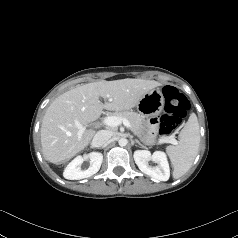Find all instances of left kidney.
I'll return each mask as SVG.
<instances>
[{
    "label": "left kidney",
    "instance_id": "1",
    "mask_svg": "<svg viewBox=\"0 0 238 238\" xmlns=\"http://www.w3.org/2000/svg\"><path fill=\"white\" fill-rule=\"evenodd\" d=\"M133 156L135 163L143 173L159 181H167L169 179L170 168L164 152L155 151L151 154L148 150H136ZM149 161L157 163V166H150Z\"/></svg>",
    "mask_w": 238,
    "mask_h": 238
}]
</instances>
